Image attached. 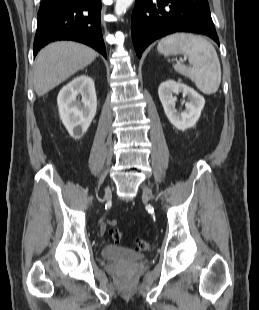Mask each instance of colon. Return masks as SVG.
Returning <instances> with one entry per match:
<instances>
[{"instance_id": "1", "label": "colon", "mask_w": 259, "mask_h": 310, "mask_svg": "<svg viewBox=\"0 0 259 310\" xmlns=\"http://www.w3.org/2000/svg\"><path fill=\"white\" fill-rule=\"evenodd\" d=\"M106 224L111 228L110 235L112 239L119 242L122 239V232L116 229L117 222L114 219H110ZM152 242L148 240H137L134 244V249L136 251H147L151 248Z\"/></svg>"}]
</instances>
